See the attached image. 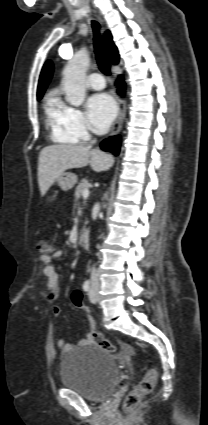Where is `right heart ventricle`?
Instances as JSON below:
<instances>
[{"label": "right heart ventricle", "mask_w": 208, "mask_h": 425, "mask_svg": "<svg viewBox=\"0 0 208 425\" xmlns=\"http://www.w3.org/2000/svg\"><path fill=\"white\" fill-rule=\"evenodd\" d=\"M46 124L53 141L63 144H76L78 141L70 134L63 123L62 104L54 93L45 101Z\"/></svg>", "instance_id": "obj_1"}]
</instances>
